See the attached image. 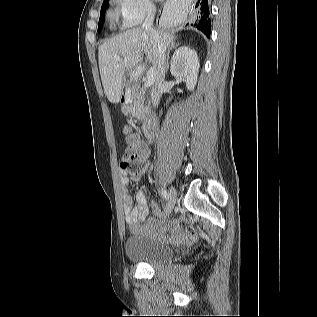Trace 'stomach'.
I'll use <instances>...</instances> for the list:
<instances>
[{"mask_svg":"<svg viewBox=\"0 0 317 317\" xmlns=\"http://www.w3.org/2000/svg\"><path fill=\"white\" fill-rule=\"evenodd\" d=\"M144 73H145L144 67H131L130 76H128L127 73H124L122 82H121V87L124 89V92L128 93L134 87V83H138L139 78L136 74H144Z\"/></svg>","mask_w":317,"mask_h":317,"instance_id":"obj_1","label":"stomach"}]
</instances>
